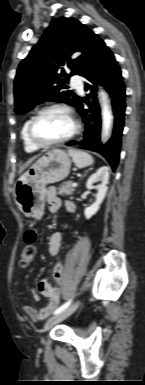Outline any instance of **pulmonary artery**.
Here are the masks:
<instances>
[{
    "label": "pulmonary artery",
    "instance_id": "obj_1",
    "mask_svg": "<svg viewBox=\"0 0 145 385\" xmlns=\"http://www.w3.org/2000/svg\"><path fill=\"white\" fill-rule=\"evenodd\" d=\"M70 82H71L72 87H74L75 89H77L80 92L83 91L82 82L78 76L72 77Z\"/></svg>",
    "mask_w": 145,
    "mask_h": 385
}]
</instances>
